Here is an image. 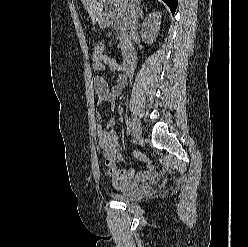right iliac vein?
<instances>
[{"instance_id":"1","label":"right iliac vein","mask_w":248,"mask_h":247,"mask_svg":"<svg viewBox=\"0 0 248 247\" xmlns=\"http://www.w3.org/2000/svg\"><path fill=\"white\" fill-rule=\"evenodd\" d=\"M132 135L133 138L136 142H140L142 141L143 137H142V133H141V127L139 122L136 119H133L132 122Z\"/></svg>"}]
</instances>
